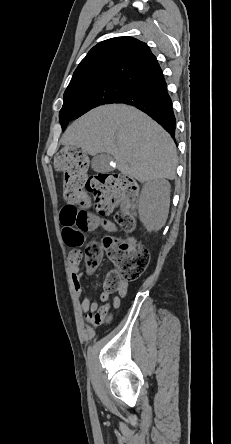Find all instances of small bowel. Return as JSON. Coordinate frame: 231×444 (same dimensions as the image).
Wrapping results in <instances>:
<instances>
[{
  "instance_id": "c3829d8e",
  "label": "small bowel",
  "mask_w": 231,
  "mask_h": 444,
  "mask_svg": "<svg viewBox=\"0 0 231 444\" xmlns=\"http://www.w3.org/2000/svg\"><path fill=\"white\" fill-rule=\"evenodd\" d=\"M99 225L108 231H113L115 229L113 224L105 220H100ZM62 233L64 241L67 245L71 247H78L81 245L83 240V235L81 233L65 226H63ZM80 260V251L74 249L70 255V267L73 273L72 278L77 298L81 297V293L84 289L83 273L80 271ZM127 288L128 283L123 282L119 289V295L121 298L126 296ZM100 300L102 304L98 301H91L88 295L85 293L80 302V310L85 314L87 321L94 326L107 322L110 318L111 310L118 308L121 304L119 297L110 298L109 294L106 292L101 293Z\"/></svg>"
}]
</instances>
